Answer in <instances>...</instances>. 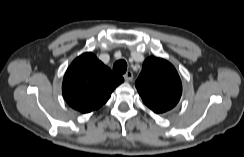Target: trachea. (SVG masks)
<instances>
[{
    "label": "trachea",
    "instance_id": "obj_1",
    "mask_svg": "<svg viewBox=\"0 0 244 157\" xmlns=\"http://www.w3.org/2000/svg\"><path fill=\"white\" fill-rule=\"evenodd\" d=\"M127 70V63L125 60H118L113 65V71L118 74H124Z\"/></svg>",
    "mask_w": 244,
    "mask_h": 157
}]
</instances>
